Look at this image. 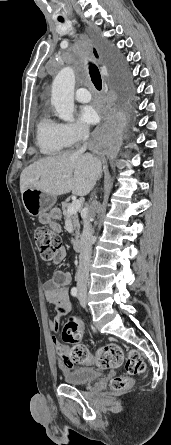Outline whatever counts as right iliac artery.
I'll use <instances>...</instances> for the list:
<instances>
[{
  "label": "right iliac artery",
  "mask_w": 171,
  "mask_h": 445,
  "mask_svg": "<svg viewBox=\"0 0 171 445\" xmlns=\"http://www.w3.org/2000/svg\"><path fill=\"white\" fill-rule=\"evenodd\" d=\"M71 295L74 296V297H77V296H78V290H77L76 287H73V288L71 289Z\"/></svg>",
  "instance_id": "obj_1"
}]
</instances>
